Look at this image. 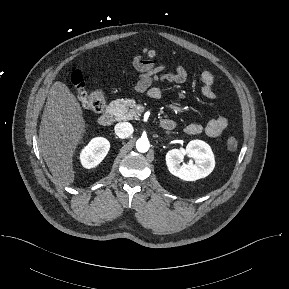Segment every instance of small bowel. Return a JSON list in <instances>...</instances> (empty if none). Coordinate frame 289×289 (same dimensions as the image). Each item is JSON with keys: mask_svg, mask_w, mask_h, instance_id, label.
<instances>
[{"mask_svg": "<svg viewBox=\"0 0 289 289\" xmlns=\"http://www.w3.org/2000/svg\"><path fill=\"white\" fill-rule=\"evenodd\" d=\"M133 67L141 73L140 77L134 85L136 92H146L153 99H159L162 90L159 87L152 86L155 82H167L181 84L187 80L188 74L186 69L179 65L175 71H166L164 67L156 66L152 61L144 59L142 56H136L133 59ZM202 95L210 100L217 98L213 86L215 82L214 75L210 71H203L200 74ZM228 126V119L224 116H216L211 118L203 127L197 123H190L185 126L184 130L187 134L198 135L205 133L209 137H218Z\"/></svg>", "mask_w": 289, "mask_h": 289, "instance_id": "small-bowel-1", "label": "small bowel"}]
</instances>
